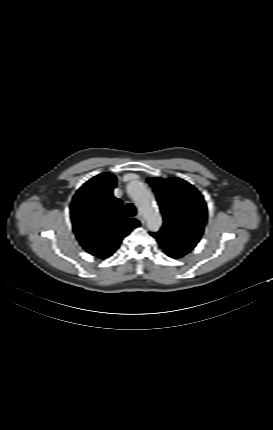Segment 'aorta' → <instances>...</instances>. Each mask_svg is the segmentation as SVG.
Here are the masks:
<instances>
[{
	"instance_id": "obj_1",
	"label": "aorta",
	"mask_w": 273,
	"mask_h": 430,
	"mask_svg": "<svg viewBox=\"0 0 273 430\" xmlns=\"http://www.w3.org/2000/svg\"><path fill=\"white\" fill-rule=\"evenodd\" d=\"M130 195L143 214L148 229L157 231L162 225V218L154 203V197L149 187L140 181H135L131 185Z\"/></svg>"
}]
</instances>
